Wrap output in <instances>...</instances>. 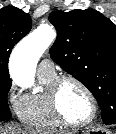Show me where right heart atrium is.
Here are the masks:
<instances>
[{"instance_id": "1", "label": "right heart atrium", "mask_w": 116, "mask_h": 134, "mask_svg": "<svg viewBox=\"0 0 116 134\" xmlns=\"http://www.w3.org/2000/svg\"><path fill=\"white\" fill-rule=\"evenodd\" d=\"M7 95H8V99H9L10 103L12 104V106L14 107V109L19 112V110L23 104L25 96L22 95L18 91V89L16 88V86L14 84L10 85Z\"/></svg>"}]
</instances>
